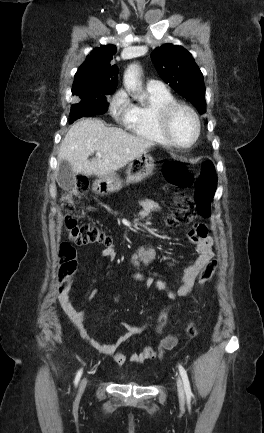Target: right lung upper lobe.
Instances as JSON below:
<instances>
[{"instance_id":"cb5924a9","label":"right lung upper lobe","mask_w":264,"mask_h":433,"mask_svg":"<svg viewBox=\"0 0 264 433\" xmlns=\"http://www.w3.org/2000/svg\"><path fill=\"white\" fill-rule=\"evenodd\" d=\"M115 53L114 45L95 48L78 68L72 94L84 98L112 93L116 88L118 77L117 66L110 63Z\"/></svg>"}]
</instances>
